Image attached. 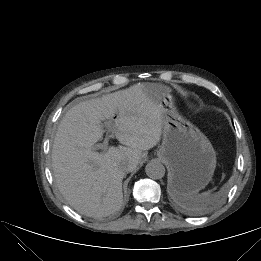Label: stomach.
<instances>
[{
  "instance_id": "stomach-1",
  "label": "stomach",
  "mask_w": 261,
  "mask_h": 261,
  "mask_svg": "<svg viewBox=\"0 0 261 261\" xmlns=\"http://www.w3.org/2000/svg\"><path fill=\"white\" fill-rule=\"evenodd\" d=\"M149 85L162 94L163 140L157 156L169 168L170 189L176 196L196 194L212 179L216 153L206 136L179 115L169 92Z\"/></svg>"
}]
</instances>
